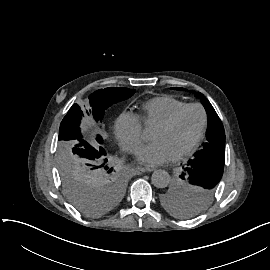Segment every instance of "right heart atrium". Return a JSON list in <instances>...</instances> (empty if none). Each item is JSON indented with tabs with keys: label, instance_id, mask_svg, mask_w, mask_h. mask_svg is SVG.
Here are the masks:
<instances>
[{
	"label": "right heart atrium",
	"instance_id": "obj_1",
	"mask_svg": "<svg viewBox=\"0 0 270 270\" xmlns=\"http://www.w3.org/2000/svg\"><path fill=\"white\" fill-rule=\"evenodd\" d=\"M113 132L126 153L134 154L142 145V125L132 114L122 113L114 124Z\"/></svg>",
	"mask_w": 270,
	"mask_h": 270
}]
</instances>
